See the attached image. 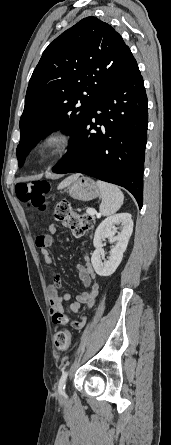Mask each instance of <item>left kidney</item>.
<instances>
[{"label": "left kidney", "mask_w": 171, "mask_h": 445, "mask_svg": "<svg viewBox=\"0 0 171 445\" xmlns=\"http://www.w3.org/2000/svg\"><path fill=\"white\" fill-rule=\"evenodd\" d=\"M120 225V227H115ZM121 231L118 232L117 229ZM133 232V220L131 214L120 213L106 218L97 227L93 239L95 251L92 254L91 262L95 272L100 276H110L120 265L123 253L125 252L129 238ZM109 238L110 243L116 242L111 247L110 256L108 260L103 259V244L102 241Z\"/></svg>", "instance_id": "obj_1"}]
</instances>
